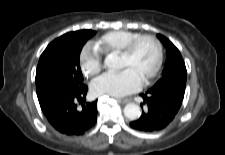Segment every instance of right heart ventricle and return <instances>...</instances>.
Here are the masks:
<instances>
[{
	"mask_svg": "<svg viewBox=\"0 0 225 155\" xmlns=\"http://www.w3.org/2000/svg\"><path fill=\"white\" fill-rule=\"evenodd\" d=\"M140 35L129 30H113L106 32L94 42V47L101 54L120 52L133 38Z\"/></svg>",
	"mask_w": 225,
	"mask_h": 155,
	"instance_id": "e07e8e85",
	"label": "right heart ventricle"
}]
</instances>
